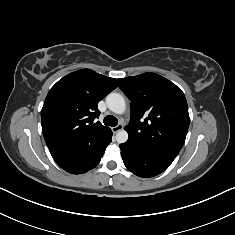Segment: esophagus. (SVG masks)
Wrapping results in <instances>:
<instances>
[{
  "label": "esophagus",
  "instance_id": "1",
  "mask_svg": "<svg viewBox=\"0 0 235 235\" xmlns=\"http://www.w3.org/2000/svg\"><path fill=\"white\" fill-rule=\"evenodd\" d=\"M122 129H123V125L122 124H118L117 126L112 128L114 133H117V132H119Z\"/></svg>",
  "mask_w": 235,
  "mask_h": 235
}]
</instances>
